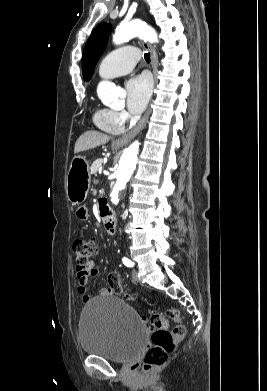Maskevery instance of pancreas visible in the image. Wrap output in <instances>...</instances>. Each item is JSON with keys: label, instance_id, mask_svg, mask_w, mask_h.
<instances>
[{"label": "pancreas", "instance_id": "cf45deb5", "mask_svg": "<svg viewBox=\"0 0 267 391\" xmlns=\"http://www.w3.org/2000/svg\"><path fill=\"white\" fill-rule=\"evenodd\" d=\"M103 160L102 159H97L93 164L91 165V174H96L97 171L99 170V167L102 165Z\"/></svg>", "mask_w": 267, "mask_h": 391}]
</instances>
